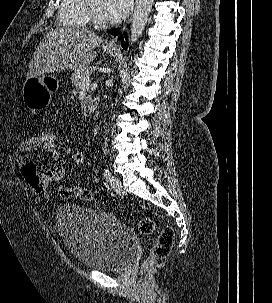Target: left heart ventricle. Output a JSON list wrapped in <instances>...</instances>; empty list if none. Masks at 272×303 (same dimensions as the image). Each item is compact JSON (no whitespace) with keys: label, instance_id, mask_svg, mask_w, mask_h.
I'll return each mask as SVG.
<instances>
[{"label":"left heart ventricle","instance_id":"left-heart-ventricle-1","mask_svg":"<svg viewBox=\"0 0 272 303\" xmlns=\"http://www.w3.org/2000/svg\"><path fill=\"white\" fill-rule=\"evenodd\" d=\"M93 5H94L95 9L97 10V12L99 13V15L104 18V15H103L104 0H93Z\"/></svg>","mask_w":272,"mask_h":303}]
</instances>
